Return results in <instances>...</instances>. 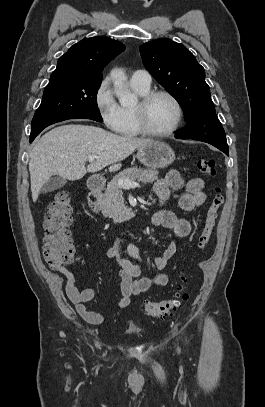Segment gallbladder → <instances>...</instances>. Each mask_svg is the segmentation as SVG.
<instances>
[{
    "label": "gallbladder",
    "mask_w": 265,
    "mask_h": 407,
    "mask_svg": "<svg viewBox=\"0 0 265 407\" xmlns=\"http://www.w3.org/2000/svg\"><path fill=\"white\" fill-rule=\"evenodd\" d=\"M66 184V180L62 177H52L50 180L44 184L42 187L43 193L53 192L62 188Z\"/></svg>",
    "instance_id": "gallbladder-1"
}]
</instances>
